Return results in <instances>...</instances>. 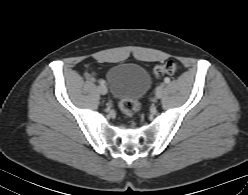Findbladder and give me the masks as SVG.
I'll return each instance as SVG.
<instances>
[{
	"label": "bladder",
	"instance_id": "31cf9c89",
	"mask_svg": "<svg viewBox=\"0 0 248 195\" xmlns=\"http://www.w3.org/2000/svg\"><path fill=\"white\" fill-rule=\"evenodd\" d=\"M107 82L115 98L138 101L150 87V77L138 64L119 63L107 72Z\"/></svg>",
	"mask_w": 248,
	"mask_h": 195
}]
</instances>
